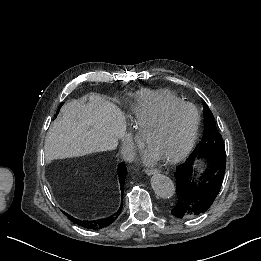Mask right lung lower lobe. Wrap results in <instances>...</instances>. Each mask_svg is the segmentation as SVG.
I'll list each match as a JSON object with an SVG mask.
<instances>
[{
    "mask_svg": "<svg viewBox=\"0 0 261 261\" xmlns=\"http://www.w3.org/2000/svg\"><path fill=\"white\" fill-rule=\"evenodd\" d=\"M126 175H127L126 166L124 163H120L118 165V177H119V183L121 186V195L122 196L124 194L123 183L125 181ZM122 206H123V203H121L119 210L114 215L104 218V219H98V220H92V221H82V220L74 218L68 214H66V215L69 218V220H71L73 223H75L79 226H82L87 229L98 230V229H102V228L110 225L112 222H114L120 215Z\"/></svg>",
    "mask_w": 261,
    "mask_h": 261,
    "instance_id": "1",
    "label": "right lung lower lobe"
}]
</instances>
